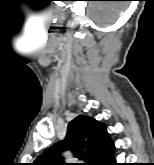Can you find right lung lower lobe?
I'll return each mask as SVG.
<instances>
[{
    "mask_svg": "<svg viewBox=\"0 0 154 165\" xmlns=\"http://www.w3.org/2000/svg\"><path fill=\"white\" fill-rule=\"evenodd\" d=\"M114 143L109 139L102 146L101 151L92 165H119L113 156Z\"/></svg>",
    "mask_w": 154,
    "mask_h": 165,
    "instance_id": "98d812e1",
    "label": "right lung lower lobe"
}]
</instances>
